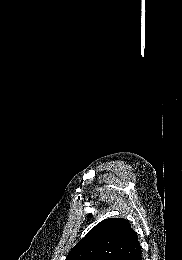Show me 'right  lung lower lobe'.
<instances>
[{
    "instance_id": "obj_1",
    "label": "right lung lower lobe",
    "mask_w": 182,
    "mask_h": 260,
    "mask_svg": "<svg viewBox=\"0 0 182 260\" xmlns=\"http://www.w3.org/2000/svg\"><path fill=\"white\" fill-rule=\"evenodd\" d=\"M132 260H142L141 252L137 254L134 258H132Z\"/></svg>"
}]
</instances>
